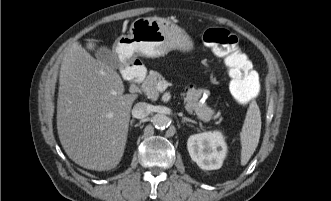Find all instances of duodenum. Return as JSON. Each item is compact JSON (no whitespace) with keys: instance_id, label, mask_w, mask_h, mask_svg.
Returning a JSON list of instances; mask_svg holds the SVG:
<instances>
[{"instance_id":"1","label":"duodenum","mask_w":331,"mask_h":201,"mask_svg":"<svg viewBox=\"0 0 331 201\" xmlns=\"http://www.w3.org/2000/svg\"><path fill=\"white\" fill-rule=\"evenodd\" d=\"M125 75L132 84L142 80L145 76V68L140 60H133L125 69Z\"/></svg>"}]
</instances>
